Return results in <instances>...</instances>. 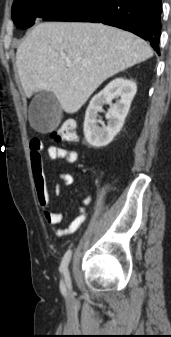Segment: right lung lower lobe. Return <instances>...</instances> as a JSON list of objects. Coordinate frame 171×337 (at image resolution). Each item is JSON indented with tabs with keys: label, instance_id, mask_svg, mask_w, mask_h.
<instances>
[{
	"label": "right lung lower lobe",
	"instance_id": "1",
	"mask_svg": "<svg viewBox=\"0 0 171 337\" xmlns=\"http://www.w3.org/2000/svg\"><path fill=\"white\" fill-rule=\"evenodd\" d=\"M161 0H68L45 21L101 22L148 40L159 54Z\"/></svg>",
	"mask_w": 171,
	"mask_h": 337
}]
</instances>
